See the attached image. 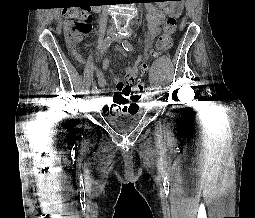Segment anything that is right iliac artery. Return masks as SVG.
<instances>
[{
	"label": "right iliac artery",
	"instance_id": "82829eb1",
	"mask_svg": "<svg viewBox=\"0 0 255 218\" xmlns=\"http://www.w3.org/2000/svg\"><path fill=\"white\" fill-rule=\"evenodd\" d=\"M111 42H112V38L110 36L106 37L104 39V41L102 42V45H101L102 51H106L107 48L110 46ZM97 91H98L97 87L95 85H93L92 92L94 93V92H97Z\"/></svg>",
	"mask_w": 255,
	"mask_h": 218
}]
</instances>
